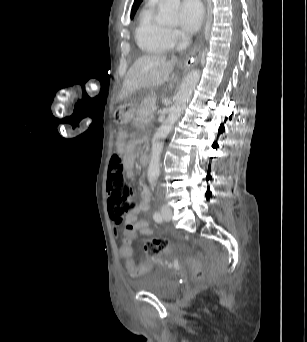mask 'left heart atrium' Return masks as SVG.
<instances>
[{
	"instance_id": "1",
	"label": "left heart atrium",
	"mask_w": 307,
	"mask_h": 342,
	"mask_svg": "<svg viewBox=\"0 0 307 342\" xmlns=\"http://www.w3.org/2000/svg\"><path fill=\"white\" fill-rule=\"evenodd\" d=\"M181 24L179 27L180 39L189 43L199 31L204 20V9L199 1H186L181 7Z\"/></svg>"
}]
</instances>
